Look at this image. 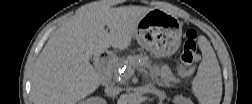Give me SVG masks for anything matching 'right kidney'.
<instances>
[{
	"mask_svg": "<svg viewBox=\"0 0 252 104\" xmlns=\"http://www.w3.org/2000/svg\"><path fill=\"white\" fill-rule=\"evenodd\" d=\"M82 104H106V101L100 97H90L81 102Z\"/></svg>",
	"mask_w": 252,
	"mask_h": 104,
	"instance_id": "right-kidney-1",
	"label": "right kidney"
}]
</instances>
